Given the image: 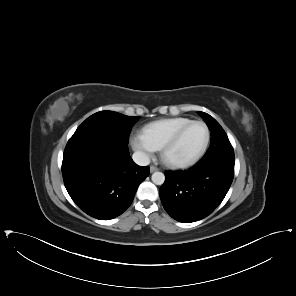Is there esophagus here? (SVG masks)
Segmentation results:
<instances>
[{
    "instance_id": "1",
    "label": "esophagus",
    "mask_w": 296,
    "mask_h": 296,
    "mask_svg": "<svg viewBox=\"0 0 296 296\" xmlns=\"http://www.w3.org/2000/svg\"><path fill=\"white\" fill-rule=\"evenodd\" d=\"M159 170V168H157L156 166H150V172L151 173H153V172H155V171H158Z\"/></svg>"
}]
</instances>
